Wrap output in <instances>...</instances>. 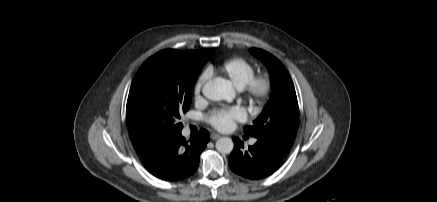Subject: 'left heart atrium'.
Wrapping results in <instances>:
<instances>
[{
	"label": "left heart atrium",
	"mask_w": 437,
	"mask_h": 202,
	"mask_svg": "<svg viewBox=\"0 0 437 202\" xmlns=\"http://www.w3.org/2000/svg\"><path fill=\"white\" fill-rule=\"evenodd\" d=\"M245 118L246 115L243 109L233 107L214 111L209 118V122L219 131H229L236 122L244 121Z\"/></svg>",
	"instance_id": "39dd6f15"
}]
</instances>
